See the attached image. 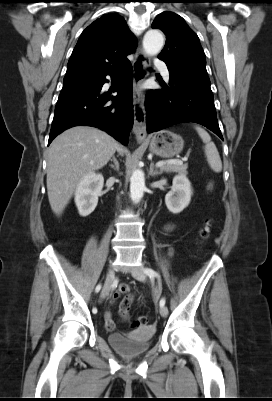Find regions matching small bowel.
I'll use <instances>...</instances> for the list:
<instances>
[{
    "label": "small bowel",
    "instance_id": "small-bowel-1",
    "mask_svg": "<svg viewBox=\"0 0 272 401\" xmlns=\"http://www.w3.org/2000/svg\"><path fill=\"white\" fill-rule=\"evenodd\" d=\"M172 228V225L169 224L167 226V229L170 230ZM170 254H172V249H169ZM130 286L128 284H122L118 287L117 290H115L111 296H110V303L113 304L115 303L122 295L124 297L120 301L119 305V313L120 315L127 320L129 318V309L134 301V295L129 293ZM104 319H105V324L108 329H113L114 328V321L112 319V314L110 310H107L104 314Z\"/></svg>",
    "mask_w": 272,
    "mask_h": 401
}]
</instances>
